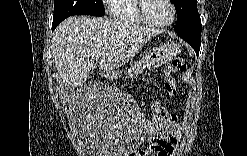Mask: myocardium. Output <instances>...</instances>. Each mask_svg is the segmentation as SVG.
Listing matches in <instances>:
<instances>
[{
	"label": "myocardium",
	"instance_id": "myocardium-1",
	"mask_svg": "<svg viewBox=\"0 0 247 156\" xmlns=\"http://www.w3.org/2000/svg\"><path fill=\"white\" fill-rule=\"evenodd\" d=\"M165 1L168 4V6L170 7L171 17L168 21L163 22V23H158V22L152 21L151 19H149L147 17V15L145 13V4L147 1L140 0L137 2L138 14L146 25H148L150 27H154V28H165V27L172 25V23L175 20V16H176L175 6L173 5V3L170 0H165Z\"/></svg>",
	"mask_w": 247,
	"mask_h": 156
}]
</instances>
